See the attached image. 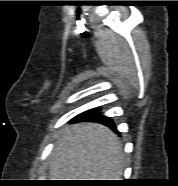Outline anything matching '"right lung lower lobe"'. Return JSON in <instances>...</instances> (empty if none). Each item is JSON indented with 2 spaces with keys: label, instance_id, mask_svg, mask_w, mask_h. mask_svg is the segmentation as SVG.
<instances>
[{
  "label": "right lung lower lobe",
  "instance_id": "obj_1",
  "mask_svg": "<svg viewBox=\"0 0 178 186\" xmlns=\"http://www.w3.org/2000/svg\"><path fill=\"white\" fill-rule=\"evenodd\" d=\"M79 121H94L109 126L112 129L115 128L113 121L110 118L103 116L97 109L85 111L72 119V122Z\"/></svg>",
  "mask_w": 178,
  "mask_h": 186
}]
</instances>
